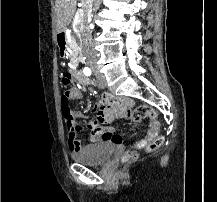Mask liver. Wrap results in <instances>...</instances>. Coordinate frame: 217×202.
<instances>
[{"instance_id": "obj_1", "label": "liver", "mask_w": 217, "mask_h": 202, "mask_svg": "<svg viewBox=\"0 0 217 202\" xmlns=\"http://www.w3.org/2000/svg\"><path fill=\"white\" fill-rule=\"evenodd\" d=\"M57 34L65 32L76 10L77 0H56Z\"/></svg>"}]
</instances>
